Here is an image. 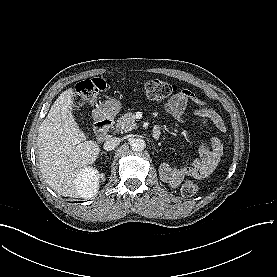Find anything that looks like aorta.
Wrapping results in <instances>:
<instances>
[{
  "label": "aorta",
  "instance_id": "1",
  "mask_svg": "<svg viewBox=\"0 0 277 277\" xmlns=\"http://www.w3.org/2000/svg\"><path fill=\"white\" fill-rule=\"evenodd\" d=\"M130 146L133 151L140 152L146 148V143L142 138H135L130 142Z\"/></svg>",
  "mask_w": 277,
  "mask_h": 277
}]
</instances>
